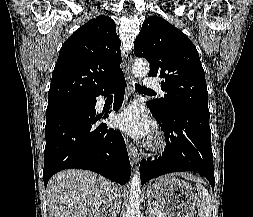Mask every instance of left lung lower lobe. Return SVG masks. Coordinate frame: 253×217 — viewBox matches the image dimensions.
Returning <instances> with one entry per match:
<instances>
[{"instance_id": "left-lung-lower-lobe-1", "label": "left lung lower lobe", "mask_w": 253, "mask_h": 217, "mask_svg": "<svg viewBox=\"0 0 253 217\" xmlns=\"http://www.w3.org/2000/svg\"><path fill=\"white\" fill-rule=\"evenodd\" d=\"M165 134V150L158 158L140 164L141 182L163 174L194 171L215 186L209 113L188 108H173L165 115L148 104Z\"/></svg>"}]
</instances>
